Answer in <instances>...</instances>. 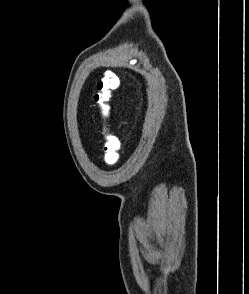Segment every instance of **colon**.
Masks as SVG:
<instances>
[{
	"mask_svg": "<svg viewBox=\"0 0 249 294\" xmlns=\"http://www.w3.org/2000/svg\"><path fill=\"white\" fill-rule=\"evenodd\" d=\"M117 89V83L111 79H102L98 83V88L95 94V103L99 108L100 116L103 120L102 133L105 136L107 143L105 146L106 162L112 165L117 160L118 138L112 133L110 128V118L112 113V98Z\"/></svg>",
	"mask_w": 249,
	"mask_h": 294,
	"instance_id": "obj_1",
	"label": "colon"
}]
</instances>
